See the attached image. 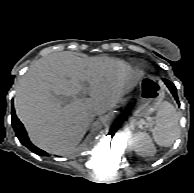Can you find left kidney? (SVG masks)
I'll return each mask as SVG.
<instances>
[{
	"label": "left kidney",
	"instance_id": "5707ae66",
	"mask_svg": "<svg viewBox=\"0 0 194 193\" xmlns=\"http://www.w3.org/2000/svg\"><path fill=\"white\" fill-rule=\"evenodd\" d=\"M134 148L142 156H153L156 153V148L150 136L145 132H139L135 135Z\"/></svg>",
	"mask_w": 194,
	"mask_h": 193
}]
</instances>
